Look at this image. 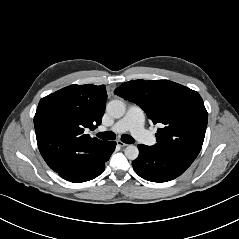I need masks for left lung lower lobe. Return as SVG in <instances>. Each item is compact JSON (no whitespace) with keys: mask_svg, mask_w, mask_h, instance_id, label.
<instances>
[{"mask_svg":"<svg viewBox=\"0 0 239 239\" xmlns=\"http://www.w3.org/2000/svg\"><path fill=\"white\" fill-rule=\"evenodd\" d=\"M139 156L132 162L135 172L145 180L166 182L180 176L192 162L152 146L138 145Z\"/></svg>","mask_w":239,"mask_h":239,"instance_id":"obj_1","label":"left lung lower lobe"}]
</instances>
